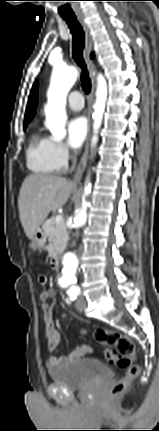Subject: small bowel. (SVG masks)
<instances>
[{
	"label": "small bowel",
	"instance_id": "small-bowel-1",
	"mask_svg": "<svg viewBox=\"0 0 159 431\" xmlns=\"http://www.w3.org/2000/svg\"><path fill=\"white\" fill-rule=\"evenodd\" d=\"M48 275L42 272L39 277L40 285L42 286V291L40 293V300L42 302V312H43V322L45 329V338L48 347V351L53 353L59 346L60 337L59 333L55 328L53 315L51 312V304L48 302ZM46 280V281H45ZM91 348L87 344H82L75 347L68 355L57 357L50 355L47 361L49 367H60L65 366L77 359H80L84 355L88 354Z\"/></svg>",
	"mask_w": 159,
	"mask_h": 431
}]
</instances>
